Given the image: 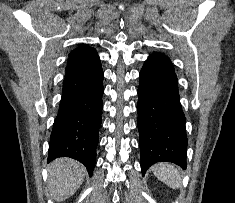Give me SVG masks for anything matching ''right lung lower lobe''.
Instances as JSON below:
<instances>
[{
	"instance_id": "right-lung-lower-lobe-1",
	"label": "right lung lower lobe",
	"mask_w": 235,
	"mask_h": 203,
	"mask_svg": "<svg viewBox=\"0 0 235 203\" xmlns=\"http://www.w3.org/2000/svg\"><path fill=\"white\" fill-rule=\"evenodd\" d=\"M103 77L99 56L66 73L50 136L48 162L70 157L83 163L92 176L101 125Z\"/></svg>"
}]
</instances>
